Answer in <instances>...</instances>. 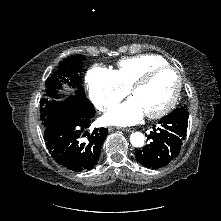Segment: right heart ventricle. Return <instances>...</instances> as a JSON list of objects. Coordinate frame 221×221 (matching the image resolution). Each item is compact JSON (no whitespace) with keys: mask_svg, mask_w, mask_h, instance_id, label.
Returning a JSON list of instances; mask_svg holds the SVG:
<instances>
[{"mask_svg":"<svg viewBox=\"0 0 221 221\" xmlns=\"http://www.w3.org/2000/svg\"><path fill=\"white\" fill-rule=\"evenodd\" d=\"M164 64L167 61L159 55L143 54L121 59L114 73L121 85L129 90L148 69Z\"/></svg>","mask_w":221,"mask_h":221,"instance_id":"e07e8e85","label":"right heart ventricle"}]
</instances>
